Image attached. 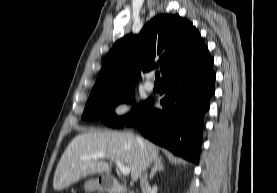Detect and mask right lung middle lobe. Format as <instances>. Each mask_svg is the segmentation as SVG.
Here are the masks:
<instances>
[{
	"label": "right lung middle lobe",
	"instance_id": "right-lung-middle-lobe-1",
	"mask_svg": "<svg viewBox=\"0 0 277 193\" xmlns=\"http://www.w3.org/2000/svg\"><path fill=\"white\" fill-rule=\"evenodd\" d=\"M133 99L134 87L90 94L82 119H100L110 127L119 128L133 116L136 110L133 109L124 117H117L114 114V108L119 103L129 102Z\"/></svg>",
	"mask_w": 277,
	"mask_h": 193
}]
</instances>
